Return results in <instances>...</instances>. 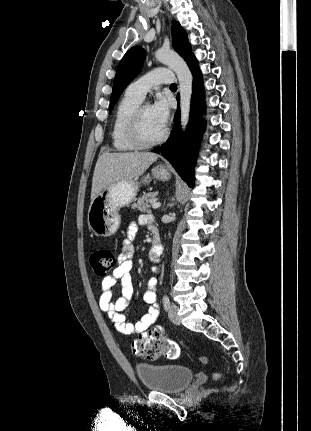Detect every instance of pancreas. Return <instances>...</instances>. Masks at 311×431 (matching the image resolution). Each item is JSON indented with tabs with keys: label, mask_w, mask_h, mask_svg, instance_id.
Wrapping results in <instances>:
<instances>
[{
	"label": "pancreas",
	"mask_w": 311,
	"mask_h": 431,
	"mask_svg": "<svg viewBox=\"0 0 311 431\" xmlns=\"http://www.w3.org/2000/svg\"><path fill=\"white\" fill-rule=\"evenodd\" d=\"M157 192H150V194H144L141 198H138L136 204H132L131 210H138V212H151L150 202L153 198H156Z\"/></svg>",
	"instance_id": "cf45deb5"
}]
</instances>
